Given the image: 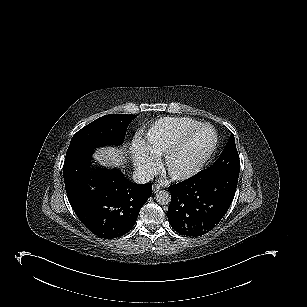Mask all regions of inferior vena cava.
<instances>
[{
    "instance_id": "inferior-vena-cava-1",
    "label": "inferior vena cava",
    "mask_w": 307,
    "mask_h": 307,
    "mask_svg": "<svg viewBox=\"0 0 307 307\" xmlns=\"http://www.w3.org/2000/svg\"><path fill=\"white\" fill-rule=\"evenodd\" d=\"M152 176L144 170H136L133 172L132 179L137 184H146L152 180Z\"/></svg>"
}]
</instances>
